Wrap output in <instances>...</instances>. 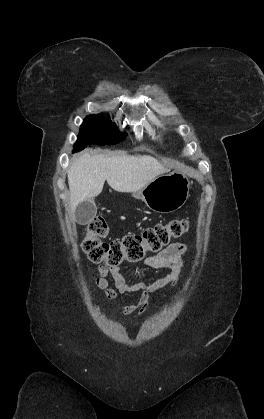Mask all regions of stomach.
<instances>
[{
    "label": "stomach",
    "mask_w": 264,
    "mask_h": 419,
    "mask_svg": "<svg viewBox=\"0 0 264 419\" xmlns=\"http://www.w3.org/2000/svg\"><path fill=\"white\" fill-rule=\"evenodd\" d=\"M190 181L180 171L157 176L132 196L145 202L148 208L158 213H171L180 209L188 199Z\"/></svg>",
    "instance_id": "stomach-1"
}]
</instances>
